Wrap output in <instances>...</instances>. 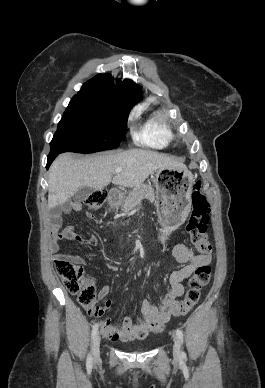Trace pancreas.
I'll use <instances>...</instances> for the list:
<instances>
[{
  "label": "pancreas",
  "mask_w": 265,
  "mask_h": 388,
  "mask_svg": "<svg viewBox=\"0 0 265 388\" xmlns=\"http://www.w3.org/2000/svg\"><path fill=\"white\" fill-rule=\"evenodd\" d=\"M151 200L154 202L155 194L154 190H152L151 186L148 184H140V186H135L134 190L130 192L128 198H126L123 204V212H130L136 206H140L141 200Z\"/></svg>",
  "instance_id": "obj_1"
}]
</instances>
